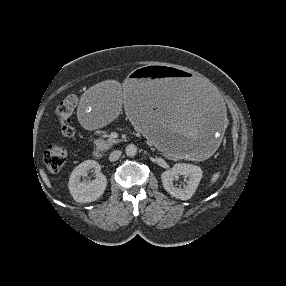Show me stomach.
I'll return each mask as SVG.
<instances>
[{"mask_svg": "<svg viewBox=\"0 0 286 286\" xmlns=\"http://www.w3.org/2000/svg\"><path fill=\"white\" fill-rule=\"evenodd\" d=\"M124 112L155 145L179 155L211 149L225 124L222 104L207 83L188 72L155 65L132 71L124 88L102 79L77 97L76 117L90 129L101 128Z\"/></svg>", "mask_w": 286, "mask_h": 286, "instance_id": "obj_1", "label": "stomach"}]
</instances>
